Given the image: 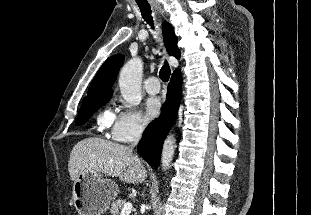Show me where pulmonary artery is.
Returning a JSON list of instances; mask_svg holds the SVG:
<instances>
[{
	"label": "pulmonary artery",
	"instance_id": "1",
	"mask_svg": "<svg viewBox=\"0 0 311 215\" xmlns=\"http://www.w3.org/2000/svg\"><path fill=\"white\" fill-rule=\"evenodd\" d=\"M145 89L149 94H157L160 91V83L157 77L151 76L145 82Z\"/></svg>",
	"mask_w": 311,
	"mask_h": 215
}]
</instances>
